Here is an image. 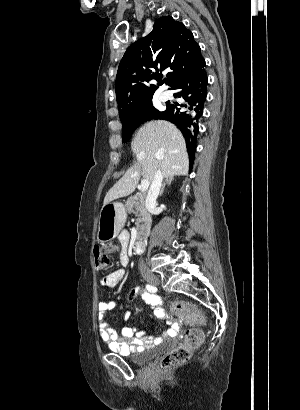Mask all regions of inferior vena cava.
Instances as JSON below:
<instances>
[{
  "instance_id": "obj_1",
  "label": "inferior vena cava",
  "mask_w": 300,
  "mask_h": 410,
  "mask_svg": "<svg viewBox=\"0 0 300 410\" xmlns=\"http://www.w3.org/2000/svg\"><path fill=\"white\" fill-rule=\"evenodd\" d=\"M162 181H163V175L158 170L154 175V179L151 183V186H150V189H149V192H148V196L146 198V208L150 212L153 211L156 207V200H157V198L159 196V193H160ZM139 267H140L141 270L146 269V265H145L143 259L140 260Z\"/></svg>"
}]
</instances>
